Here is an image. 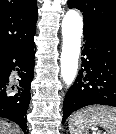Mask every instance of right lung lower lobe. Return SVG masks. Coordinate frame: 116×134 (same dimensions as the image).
I'll return each instance as SVG.
<instances>
[{
  "label": "right lung lower lobe",
  "mask_w": 116,
  "mask_h": 134,
  "mask_svg": "<svg viewBox=\"0 0 116 134\" xmlns=\"http://www.w3.org/2000/svg\"><path fill=\"white\" fill-rule=\"evenodd\" d=\"M34 37L0 57V117L17 123L26 132V113L30 103V84L35 58ZM18 71L20 79L11 85L10 74Z\"/></svg>",
  "instance_id": "98d812e1"
}]
</instances>
